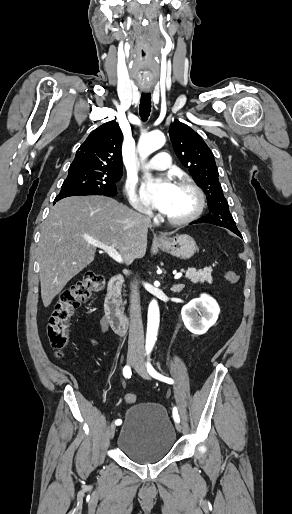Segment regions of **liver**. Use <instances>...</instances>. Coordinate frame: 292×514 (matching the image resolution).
<instances>
[{
	"label": "liver",
	"mask_w": 292,
	"mask_h": 514,
	"mask_svg": "<svg viewBox=\"0 0 292 514\" xmlns=\"http://www.w3.org/2000/svg\"><path fill=\"white\" fill-rule=\"evenodd\" d=\"M144 216L105 196H71L57 202L41 226L39 278L45 308L69 280L94 260L97 246L119 250L124 264L143 258L147 248Z\"/></svg>",
	"instance_id": "liver-1"
}]
</instances>
